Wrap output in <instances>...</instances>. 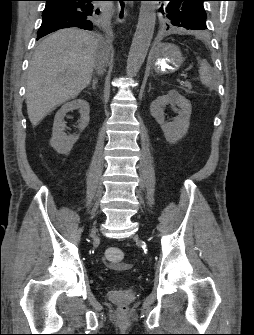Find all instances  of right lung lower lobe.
Listing matches in <instances>:
<instances>
[{
  "label": "right lung lower lobe",
  "mask_w": 254,
  "mask_h": 335,
  "mask_svg": "<svg viewBox=\"0 0 254 335\" xmlns=\"http://www.w3.org/2000/svg\"><path fill=\"white\" fill-rule=\"evenodd\" d=\"M46 6L42 14V24L37 32V39L68 27H79L90 30L93 27L92 16L97 0H45Z\"/></svg>",
  "instance_id": "98d812e1"
}]
</instances>
